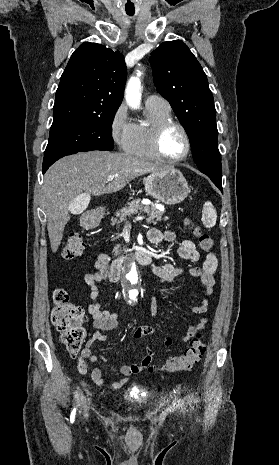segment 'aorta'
<instances>
[{"label":"aorta","mask_w":279,"mask_h":465,"mask_svg":"<svg viewBox=\"0 0 279 465\" xmlns=\"http://www.w3.org/2000/svg\"><path fill=\"white\" fill-rule=\"evenodd\" d=\"M140 72L137 73L136 77H131L127 83L126 87V101L129 106L132 108H137L140 105L141 100V82H140ZM124 283L127 290V295L130 300H135L138 295V287L140 284V279L138 278L137 268L135 262L131 261L127 264V267L124 272Z\"/></svg>","instance_id":"aorta-1"}]
</instances>
